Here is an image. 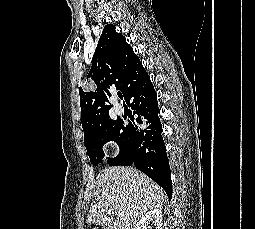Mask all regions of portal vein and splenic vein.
<instances>
[{"label": "portal vein and splenic vein", "mask_w": 255, "mask_h": 229, "mask_svg": "<svg viewBox=\"0 0 255 229\" xmlns=\"http://www.w3.org/2000/svg\"><path fill=\"white\" fill-rule=\"evenodd\" d=\"M117 215H118V216H123V215H124V212L120 210V211H118Z\"/></svg>", "instance_id": "portal-vein-and-splenic-vein-1"}]
</instances>
